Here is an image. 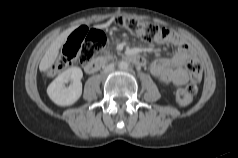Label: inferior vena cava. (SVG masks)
I'll return each mask as SVG.
<instances>
[{"mask_svg": "<svg viewBox=\"0 0 238 158\" xmlns=\"http://www.w3.org/2000/svg\"><path fill=\"white\" fill-rule=\"evenodd\" d=\"M114 69V64H109L107 66L104 67V71L105 72H110Z\"/></svg>", "mask_w": 238, "mask_h": 158, "instance_id": "obj_1", "label": "inferior vena cava"}]
</instances>
